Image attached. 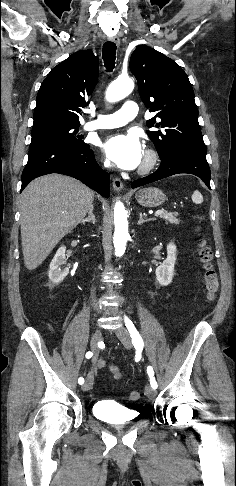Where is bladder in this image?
I'll list each match as a JSON object with an SVG mask.
<instances>
[{
    "mask_svg": "<svg viewBox=\"0 0 236 486\" xmlns=\"http://www.w3.org/2000/svg\"><path fill=\"white\" fill-rule=\"evenodd\" d=\"M92 412L97 419L115 425L127 424L138 418L136 411L107 400L97 401Z\"/></svg>",
    "mask_w": 236,
    "mask_h": 486,
    "instance_id": "1",
    "label": "bladder"
}]
</instances>
